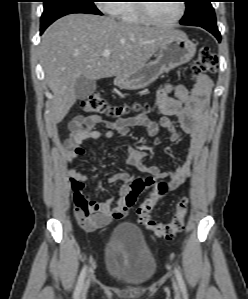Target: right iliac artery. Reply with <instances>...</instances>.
Returning <instances> with one entry per match:
<instances>
[{"label":"right iliac artery","instance_id":"obj_1","mask_svg":"<svg viewBox=\"0 0 248 299\" xmlns=\"http://www.w3.org/2000/svg\"><path fill=\"white\" fill-rule=\"evenodd\" d=\"M85 276H86V266L82 269L80 276L78 278V282H77L76 289L74 292V299H79V296H80V293H81V290H82V287L84 284Z\"/></svg>","mask_w":248,"mask_h":299}]
</instances>
